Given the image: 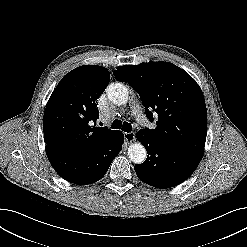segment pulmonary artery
I'll return each mask as SVG.
<instances>
[{"instance_id": "1", "label": "pulmonary artery", "mask_w": 247, "mask_h": 247, "mask_svg": "<svg viewBox=\"0 0 247 247\" xmlns=\"http://www.w3.org/2000/svg\"><path fill=\"white\" fill-rule=\"evenodd\" d=\"M134 113L138 115V118L141 122L145 123L147 121L146 117L141 114L137 109H134Z\"/></svg>"}]
</instances>
